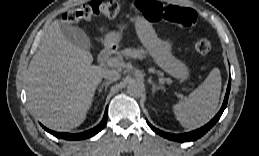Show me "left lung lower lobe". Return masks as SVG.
<instances>
[{"mask_svg": "<svg viewBox=\"0 0 259 156\" xmlns=\"http://www.w3.org/2000/svg\"><path fill=\"white\" fill-rule=\"evenodd\" d=\"M230 86H231V78H229L226 95H225L224 102H223V105H222L220 111L208 124H206L205 126L199 128L197 130H194V131L188 132V133H184V134H170V133L163 132V131L153 127L148 121H147V123L154 132H156L157 134H159L167 139H170L173 141H180V142L194 141V140L202 137L219 120L220 116L222 115L223 111L225 110V108L227 106V101H228L229 92H230Z\"/></svg>", "mask_w": 259, "mask_h": 156, "instance_id": "0a47b994", "label": "left lung lower lobe"}]
</instances>
